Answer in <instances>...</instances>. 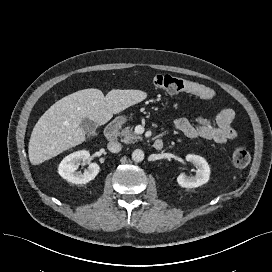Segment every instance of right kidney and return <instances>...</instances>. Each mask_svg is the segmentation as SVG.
<instances>
[{"label": "right kidney", "instance_id": "obj_1", "mask_svg": "<svg viewBox=\"0 0 272 272\" xmlns=\"http://www.w3.org/2000/svg\"><path fill=\"white\" fill-rule=\"evenodd\" d=\"M90 153L86 150L76 151L66 156L58 167L59 175L67 181L75 184H86L93 180L100 171V167L97 163H90L88 170L84 173L76 172L81 161H88Z\"/></svg>", "mask_w": 272, "mask_h": 272}]
</instances>
